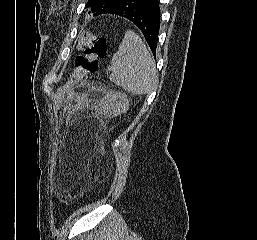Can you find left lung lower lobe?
<instances>
[{
    "mask_svg": "<svg viewBox=\"0 0 257 240\" xmlns=\"http://www.w3.org/2000/svg\"><path fill=\"white\" fill-rule=\"evenodd\" d=\"M103 14H115L131 21L143 33L155 56L160 27L159 0H120Z\"/></svg>",
    "mask_w": 257,
    "mask_h": 240,
    "instance_id": "obj_1",
    "label": "left lung lower lobe"
}]
</instances>
